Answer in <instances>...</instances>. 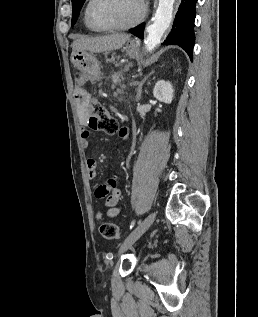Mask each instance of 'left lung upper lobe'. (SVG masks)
Returning <instances> with one entry per match:
<instances>
[{
	"label": "left lung upper lobe",
	"mask_w": 258,
	"mask_h": 317,
	"mask_svg": "<svg viewBox=\"0 0 258 317\" xmlns=\"http://www.w3.org/2000/svg\"><path fill=\"white\" fill-rule=\"evenodd\" d=\"M84 2L85 0H72V10H73L72 25L75 24Z\"/></svg>",
	"instance_id": "1"
}]
</instances>
